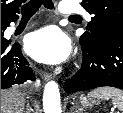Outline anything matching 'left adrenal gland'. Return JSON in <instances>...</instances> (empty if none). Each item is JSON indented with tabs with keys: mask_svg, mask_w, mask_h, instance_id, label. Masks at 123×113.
Listing matches in <instances>:
<instances>
[{
	"mask_svg": "<svg viewBox=\"0 0 123 113\" xmlns=\"http://www.w3.org/2000/svg\"><path fill=\"white\" fill-rule=\"evenodd\" d=\"M73 110H74V108H73ZM82 108H80V109H78V110H76V111H72V113H82Z\"/></svg>",
	"mask_w": 123,
	"mask_h": 113,
	"instance_id": "1",
	"label": "left adrenal gland"
}]
</instances>
